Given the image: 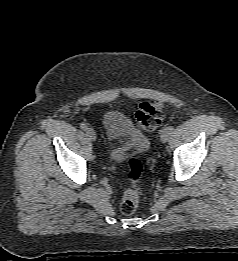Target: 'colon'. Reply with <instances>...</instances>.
Returning <instances> with one entry per match:
<instances>
[{"instance_id": "1", "label": "colon", "mask_w": 238, "mask_h": 261, "mask_svg": "<svg viewBox=\"0 0 238 261\" xmlns=\"http://www.w3.org/2000/svg\"><path fill=\"white\" fill-rule=\"evenodd\" d=\"M163 117V108L158 103L144 102L140 104L136 112L137 124L145 131H153L159 127ZM144 171L140 159L132 157L128 160V179L129 187L124 191L121 201L120 210L125 215L133 214L140 202L139 182Z\"/></svg>"}]
</instances>
